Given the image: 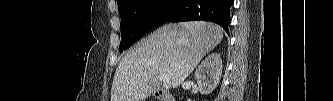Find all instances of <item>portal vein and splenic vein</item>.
Wrapping results in <instances>:
<instances>
[{
    "mask_svg": "<svg viewBox=\"0 0 333 101\" xmlns=\"http://www.w3.org/2000/svg\"><path fill=\"white\" fill-rule=\"evenodd\" d=\"M160 81H162L165 85L170 83V77L167 75H161L159 77Z\"/></svg>",
    "mask_w": 333,
    "mask_h": 101,
    "instance_id": "obj_1",
    "label": "portal vein and splenic vein"
}]
</instances>
